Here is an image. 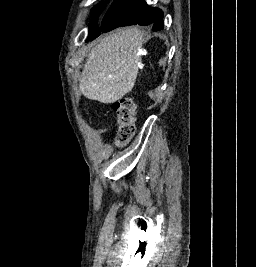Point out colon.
Masks as SVG:
<instances>
[{
  "instance_id": "5ec220e1",
  "label": "colon",
  "mask_w": 256,
  "mask_h": 267,
  "mask_svg": "<svg viewBox=\"0 0 256 267\" xmlns=\"http://www.w3.org/2000/svg\"><path fill=\"white\" fill-rule=\"evenodd\" d=\"M112 108L119 115L118 141L122 145L126 144L131 141L136 131L137 105L134 98L124 97L121 100L115 101Z\"/></svg>"
}]
</instances>
